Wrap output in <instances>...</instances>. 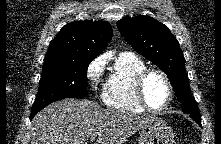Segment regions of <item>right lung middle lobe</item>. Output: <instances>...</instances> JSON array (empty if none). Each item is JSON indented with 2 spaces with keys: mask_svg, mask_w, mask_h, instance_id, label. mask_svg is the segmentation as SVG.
Masks as SVG:
<instances>
[{
  "mask_svg": "<svg viewBox=\"0 0 221 144\" xmlns=\"http://www.w3.org/2000/svg\"><path fill=\"white\" fill-rule=\"evenodd\" d=\"M90 62L44 61L39 90L31 113H37L57 100L86 97V76Z\"/></svg>",
  "mask_w": 221,
  "mask_h": 144,
  "instance_id": "right-lung-middle-lobe-1",
  "label": "right lung middle lobe"
}]
</instances>
